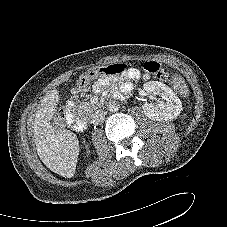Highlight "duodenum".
Instances as JSON below:
<instances>
[{"mask_svg":"<svg viewBox=\"0 0 227 227\" xmlns=\"http://www.w3.org/2000/svg\"><path fill=\"white\" fill-rule=\"evenodd\" d=\"M66 119L71 123L74 130L78 132L85 131L88 128V121L76 114V109L74 105H70L65 110Z\"/></svg>","mask_w":227,"mask_h":227,"instance_id":"duodenum-1","label":"duodenum"}]
</instances>
